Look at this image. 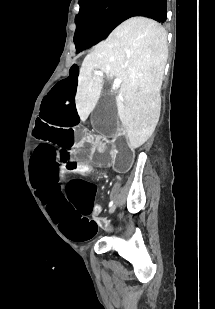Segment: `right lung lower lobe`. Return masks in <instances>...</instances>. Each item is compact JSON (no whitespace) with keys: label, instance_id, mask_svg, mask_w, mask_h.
<instances>
[{"label":"right lung lower lobe","instance_id":"98d812e1","mask_svg":"<svg viewBox=\"0 0 215 309\" xmlns=\"http://www.w3.org/2000/svg\"><path fill=\"white\" fill-rule=\"evenodd\" d=\"M135 16H144L164 23L167 19V0H131L115 25Z\"/></svg>","mask_w":215,"mask_h":309}]
</instances>
